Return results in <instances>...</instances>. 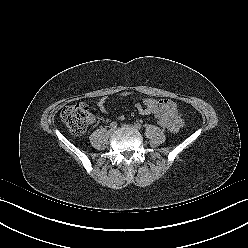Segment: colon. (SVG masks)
I'll return each instance as SVG.
<instances>
[{
	"label": "colon",
	"mask_w": 248,
	"mask_h": 248,
	"mask_svg": "<svg viewBox=\"0 0 248 248\" xmlns=\"http://www.w3.org/2000/svg\"><path fill=\"white\" fill-rule=\"evenodd\" d=\"M61 119L72 135L80 136L85 133L90 123V107L83 102L67 106L61 112ZM157 123L162 129H169L165 119H158Z\"/></svg>",
	"instance_id": "colon-1"
}]
</instances>
